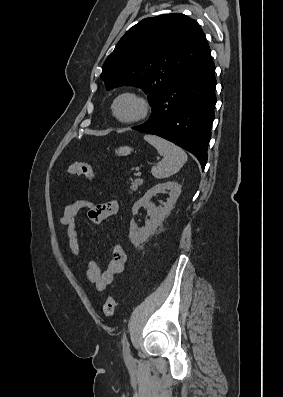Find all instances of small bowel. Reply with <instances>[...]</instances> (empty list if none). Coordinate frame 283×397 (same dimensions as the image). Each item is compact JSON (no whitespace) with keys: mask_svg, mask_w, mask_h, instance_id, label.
I'll use <instances>...</instances> for the list:
<instances>
[{"mask_svg":"<svg viewBox=\"0 0 283 397\" xmlns=\"http://www.w3.org/2000/svg\"><path fill=\"white\" fill-rule=\"evenodd\" d=\"M82 210L87 211L88 218L92 223L100 224L105 219L117 214L119 204L117 201L94 203L91 200L81 198L72 201L65 207L59 223L66 228L69 250L74 257H79L81 253L76 217ZM126 260L127 255L124 248L116 244L112 249V257L104 270L95 261L87 262V278L97 290H105L113 282L114 277L123 272Z\"/></svg>","mask_w":283,"mask_h":397,"instance_id":"small-bowel-1","label":"small bowel"}]
</instances>
